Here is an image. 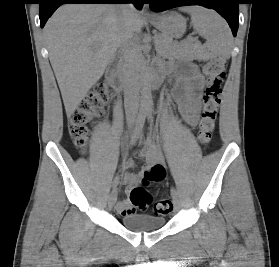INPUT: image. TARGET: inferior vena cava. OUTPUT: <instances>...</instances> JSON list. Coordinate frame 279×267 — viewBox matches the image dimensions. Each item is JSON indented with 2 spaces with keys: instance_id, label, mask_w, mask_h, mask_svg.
Here are the masks:
<instances>
[{
  "instance_id": "obj_1",
  "label": "inferior vena cava",
  "mask_w": 279,
  "mask_h": 267,
  "mask_svg": "<svg viewBox=\"0 0 279 267\" xmlns=\"http://www.w3.org/2000/svg\"><path fill=\"white\" fill-rule=\"evenodd\" d=\"M118 6L122 15L120 31V49L122 51L125 62L131 65L133 63L134 58L133 54H131L130 52V43L134 35V32L131 29V18L136 12V9L131 3H123Z\"/></svg>"
}]
</instances>
